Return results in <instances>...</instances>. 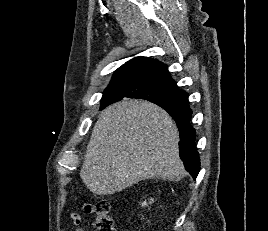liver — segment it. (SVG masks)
Segmentation results:
<instances>
[{
    "instance_id": "liver-1",
    "label": "liver",
    "mask_w": 268,
    "mask_h": 231,
    "mask_svg": "<svg viewBox=\"0 0 268 231\" xmlns=\"http://www.w3.org/2000/svg\"><path fill=\"white\" fill-rule=\"evenodd\" d=\"M179 132L169 114L145 100L104 109L93 128L80 177L96 195H111L147 179L179 181Z\"/></svg>"
}]
</instances>
